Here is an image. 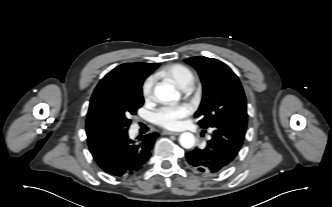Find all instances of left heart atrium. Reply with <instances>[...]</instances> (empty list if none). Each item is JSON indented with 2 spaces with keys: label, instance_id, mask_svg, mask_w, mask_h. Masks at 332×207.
<instances>
[{
  "label": "left heart atrium",
  "instance_id": "left-heart-atrium-1",
  "mask_svg": "<svg viewBox=\"0 0 332 207\" xmlns=\"http://www.w3.org/2000/svg\"><path fill=\"white\" fill-rule=\"evenodd\" d=\"M190 113L191 109L187 105L164 106L153 114V120L163 128L176 129Z\"/></svg>",
  "mask_w": 332,
  "mask_h": 207
}]
</instances>
